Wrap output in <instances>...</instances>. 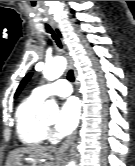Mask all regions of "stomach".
<instances>
[{
	"label": "stomach",
	"instance_id": "obj_1",
	"mask_svg": "<svg viewBox=\"0 0 135 166\" xmlns=\"http://www.w3.org/2000/svg\"><path fill=\"white\" fill-rule=\"evenodd\" d=\"M21 164H22V157L15 156L10 161L7 162L6 166H22ZM36 164H38V165H36ZM36 164H34L32 162V165H30V166H45L42 163H36Z\"/></svg>",
	"mask_w": 135,
	"mask_h": 166
}]
</instances>
